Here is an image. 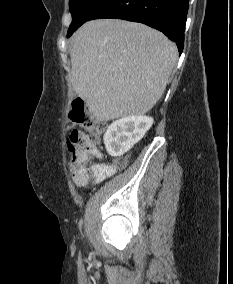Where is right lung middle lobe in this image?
I'll list each match as a JSON object with an SVG mask.
<instances>
[{
	"label": "right lung middle lobe",
	"instance_id": "1",
	"mask_svg": "<svg viewBox=\"0 0 233 284\" xmlns=\"http://www.w3.org/2000/svg\"><path fill=\"white\" fill-rule=\"evenodd\" d=\"M108 0H70L69 8L72 14V23L68 29L67 37L86 22L90 16Z\"/></svg>",
	"mask_w": 233,
	"mask_h": 284
}]
</instances>
